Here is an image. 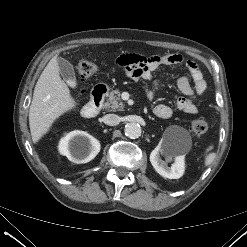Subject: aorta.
<instances>
[{"mask_svg": "<svg viewBox=\"0 0 247 247\" xmlns=\"http://www.w3.org/2000/svg\"><path fill=\"white\" fill-rule=\"evenodd\" d=\"M125 135L131 139H136L141 136V127L138 123H127L124 129Z\"/></svg>", "mask_w": 247, "mask_h": 247, "instance_id": "aorta-1", "label": "aorta"}]
</instances>
